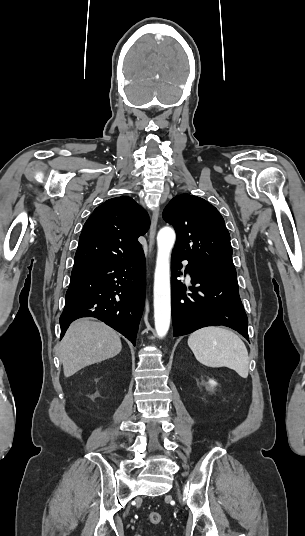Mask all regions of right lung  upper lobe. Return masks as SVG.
Wrapping results in <instances>:
<instances>
[{"label":"right lung upper lobe","instance_id":"right-lung-upper-lobe-1","mask_svg":"<svg viewBox=\"0 0 305 536\" xmlns=\"http://www.w3.org/2000/svg\"><path fill=\"white\" fill-rule=\"evenodd\" d=\"M146 211L132 198L120 196L97 207L84 224L72 272L143 253L138 237L149 229Z\"/></svg>","mask_w":305,"mask_h":536}]
</instances>
